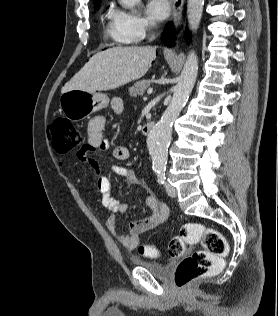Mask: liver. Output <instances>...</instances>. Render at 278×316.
Returning a JSON list of instances; mask_svg holds the SVG:
<instances>
[{"label": "liver", "mask_w": 278, "mask_h": 316, "mask_svg": "<svg viewBox=\"0 0 278 316\" xmlns=\"http://www.w3.org/2000/svg\"><path fill=\"white\" fill-rule=\"evenodd\" d=\"M156 58V48L114 47L93 55L62 88V93L81 90L89 93L119 88L141 78Z\"/></svg>", "instance_id": "liver-1"}]
</instances>
